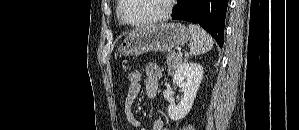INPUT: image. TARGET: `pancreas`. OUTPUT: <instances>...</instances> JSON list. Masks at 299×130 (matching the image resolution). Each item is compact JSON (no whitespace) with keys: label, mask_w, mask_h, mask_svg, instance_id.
<instances>
[{"label":"pancreas","mask_w":299,"mask_h":130,"mask_svg":"<svg viewBox=\"0 0 299 130\" xmlns=\"http://www.w3.org/2000/svg\"><path fill=\"white\" fill-rule=\"evenodd\" d=\"M166 58V63L170 73H173L176 68L182 63L181 57H179L175 52H169Z\"/></svg>","instance_id":"1"}]
</instances>
